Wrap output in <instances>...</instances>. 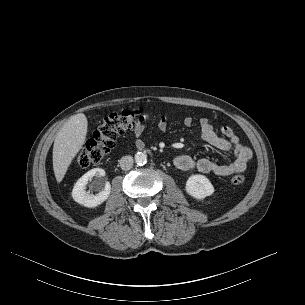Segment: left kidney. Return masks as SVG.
Listing matches in <instances>:
<instances>
[{"label": "left kidney", "instance_id": "obj_1", "mask_svg": "<svg viewBox=\"0 0 305 305\" xmlns=\"http://www.w3.org/2000/svg\"><path fill=\"white\" fill-rule=\"evenodd\" d=\"M186 192L195 199H204L214 193V187L204 175H192L186 182Z\"/></svg>", "mask_w": 305, "mask_h": 305}]
</instances>
